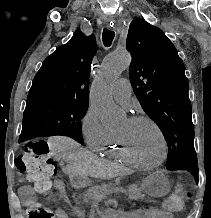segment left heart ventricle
Returning <instances> with one entry per match:
<instances>
[{"label":"left heart ventricle","instance_id":"1","mask_svg":"<svg viewBox=\"0 0 211 218\" xmlns=\"http://www.w3.org/2000/svg\"><path fill=\"white\" fill-rule=\"evenodd\" d=\"M124 138L133 155L146 163L157 162L162 147L156 129L146 121L131 122L126 119L116 132Z\"/></svg>","mask_w":211,"mask_h":218}]
</instances>
